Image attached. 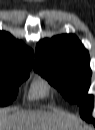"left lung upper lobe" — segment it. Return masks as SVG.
<instances>
[{
	"label": "left lung upper lobe",
	"instance_id": "5c2ea615",
	"mask_svg": "<svg viewBox=\"0 0 95 130\" xmlns=\"http://www.w3.org/2000/svg\"><path fill=\"white\" fill-rule=\"evenodd\" d=\"M88 51L74 35H61L41 41L36 47L34 69L55 85L71 103L80 106V115L95 124L91 117L93 96L86 95L91 70Z\"/></svg>",
	"mask_w": 95,
	"mask_h": 130
}]
</instances>
